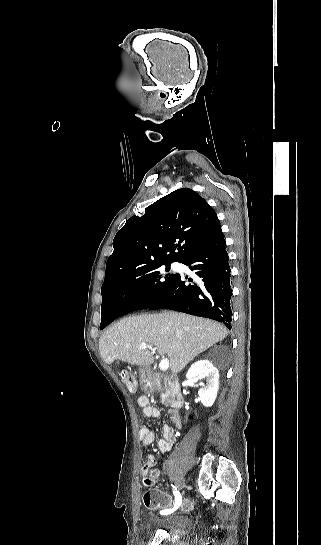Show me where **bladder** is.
<instances>
[{
	"label": "bladder",
	"mask_w": 321,
	"mask_h": 545,
	"mask_svg": "<svg viewBox=\"0 0 321 545\" xmlns=\"http://www.w3.org/2000/svg\"><path fill=\"white\" fill-rule=\"evenodd\" d=\"M148 520L151 527L165 531L174 539L185 538L192 525L191 518L179 510L173 513L153 511L149 514Z\"/></svg>",
	"instance_id": "obj_1"
}]
</instances>
